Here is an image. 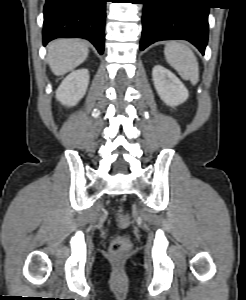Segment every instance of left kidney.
I'll return each instance as SVG.
<instances>
[{"label": "left kidney", "instance_id": "left-kidney-1", "mask_svg": "<svg viewBox=\"0 0 246 300\" xmlns=\"http://www.w3.org/2000/svg\"><path fill=\"white\" fill-rule=\"evenodd\" d=\"M152 77L158 95L167 105L175 107L188 99L189 93L184 84L165 67L154 66Z\"/></svg>", "mask_w": 246, "mask_h": 300}]
</instances>
